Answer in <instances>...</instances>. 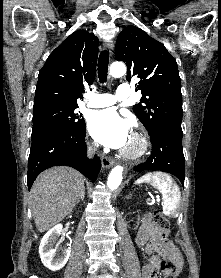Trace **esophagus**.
Returning <instances> with one entry per match:
<instances>
[{"instance_id": "1", "label": "esophagus", "mask_w": 221, "mask_h": 278, "mask_svg": "<svg viewBox=\"0 0 221 278\" xmlns=\"http://www.w3.org/2000/svg\"><path fill=\"white\" fill-rule=\"evenodd\" d=\"M104 47L107 48L110 53L112 54V50H113V43L111 41H106L104 43ZM101 163H102V166L104 168H110L112 166L115 165L116 161L113 159V158H110V157H107V156H102L101 157Z\"/></svg>"}]
</instances>
